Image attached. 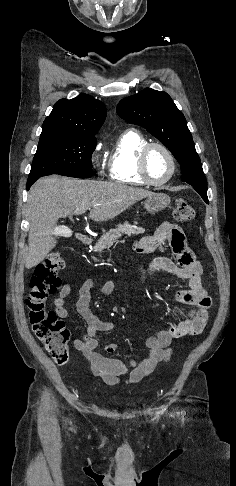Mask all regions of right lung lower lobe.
<instances>
[{"label": "right lung lower lobe", "mask_w": 236, "mask_h": 486, "mask_svg": "<svg viewBox=\"0 0 236 486\" xmlns=\"http://www.w3.org/2000/svg\"><path fill=\"white\" fill-rule=\"evenodd\" d=\"M38 179V178H37ZM37 179H33V180H29L28 181V184H27V190L30 188V186L37 180Z\"/></svg>", "instance_id": "obj_1"}]
</instances>
